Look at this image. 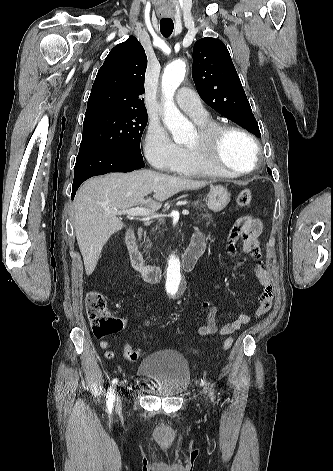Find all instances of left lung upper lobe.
<instances>
[{
	"label": "left lung upper lobe",
	"mask_w": 333,
	"mask_h": 471,
	"mask_svg": "<svg viewBox=\"0 0 333 471\" xmlns=\"http://www.w3.org/2000/svg\"><path fill=\"white\" fill-rule=\"evenodd\" d=\"M192 76L200 97L220 114L261 137L258 123L225 44L206 37L195 42ZM272 174L271 169H267Z\"/></svg>",
	"instance_id": "1"
}]
</instances>
